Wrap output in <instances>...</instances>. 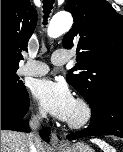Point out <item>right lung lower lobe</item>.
Listing matches in <instances>:
<instances>
[{
	"label": "right lung lower lobe",
	"instance_id": "1",
	"mask_svg": "<svg viewBox=\"0 0 123 152\" xmlns=\"http://www.w3.org/2000/svg\"><path fill=\"white\" fill-rule=\"evenodd\" d=\"M29 109V97L26 92L20 97H1V130H14L29 132L26 127L28 121L24 120V116ZM42 139L49 141L50 130L44 128L40 131Z\"/></svg>",
	"mask_w": 123,
	"mask_h": 152
}]
</instances>
